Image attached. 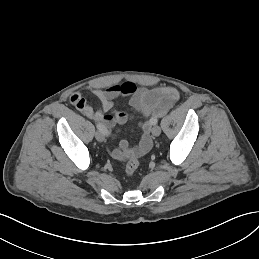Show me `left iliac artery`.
Returning <instances> with one entry per match:
<instances>
[{
  "label": "left iliac artery",
  "instance_id": "obj_1",
  "mask_svg": "<svg viewBox=\"0 0 259 259\" xmlns=\"http://www.w3.org/2000/svg\"><path fill=\"white\" fill-rule=\"evenodd\" d=\"M157 122H158V120L156 119V120H155V124H156Z\"/></svg>",
  "mask_w": 259,
  "mask_h": 259
}]
</instances>
